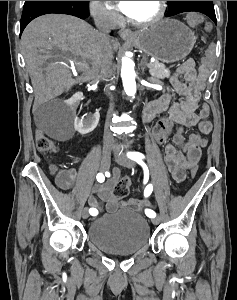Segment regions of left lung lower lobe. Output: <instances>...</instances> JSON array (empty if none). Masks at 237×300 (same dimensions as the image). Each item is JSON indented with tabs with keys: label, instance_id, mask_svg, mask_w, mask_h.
Wrapping results in <instances>:
<instances>
[{
	"label": "left lung lower lobe",
	"instance_id": "0a47b994",
	"mask_svg": "<svg viewBox=\"0 0 237 300\" xmlns=\"http://www.w3.org/2000/svg\"><path fill=\"white\" fill-rule=\"evenodd\" d=\"M190 11H196V12L203 13V14L207 15L209 18H211L215 22V24H217L214 7H211V6H196V7L180 9L177 12L182 13V12H190Z\"/></svg>",
	"mask_w": 237,
	"mask_h": 300
}]
</instances>
